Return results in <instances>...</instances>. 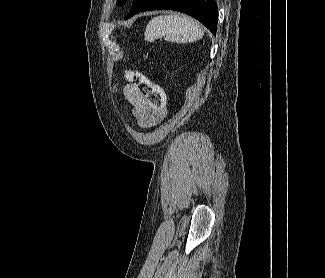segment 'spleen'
Here are the masks:
<instances>
[{"mask_svg": "<svg viewBox=\"0 0 325 278\" xmlns=\"http://www.w3.org/2000/svg\"><path fill=\"white\" fill-rule=\"evenodd\" d=\"M202 27L187 16H157L148 23L144 36L152 42L164 38L172 43H192L203 37Z\"/></svg>", "mask_w": 325, "mask_h": 278, "instance_id": "obj_1", "label": "spleen"}]
</instances>
